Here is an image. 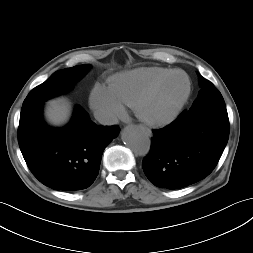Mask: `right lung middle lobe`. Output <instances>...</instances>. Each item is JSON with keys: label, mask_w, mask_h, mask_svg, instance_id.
Wrapping results in <instances>:
<instances>
[{"label": "right lung middle lobe", "mask_w": 253, "mask_h": 253, "mask_svg": "<svg viewBox=\"0 0 253 253\" xmlns=\"http://www.w3.org/2000/svg\"><path fill=\"white\" fill-rule=\"evenodd\" d=\"M90 65L74 66L59 70L44 83L35 87L23 102L22 109L43 103L54 96L65 93L89 70Z\"/></svg>", "instance_id": "dd1d6c3e"}]
</instances>
